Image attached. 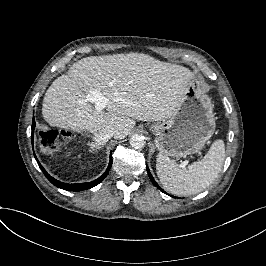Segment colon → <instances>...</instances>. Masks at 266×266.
<instances>
[{
	"label": "colon",
	"instance_id": "obj_1",
	"mask_svg": "<svg viewBox=\"0 0 266 266\" xmlns=\"http://www.w3.org/2000/svg\"><path fill=\"white\" fill-rule=\"evenodd\" d=\"M39 144L44 151L53 153L61 146L60 134L52 128L39 130Z\"/></svg>",
	"mask_w": 266,
	"mask_h": 266
}]
</instances>
